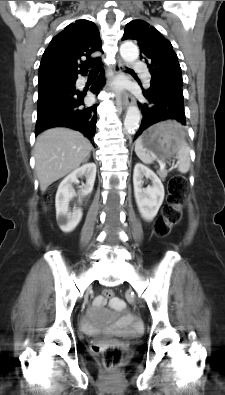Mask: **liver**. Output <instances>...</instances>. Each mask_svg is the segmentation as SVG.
Returning a JSON list of instances; mask_svg holds the SVG:
<instances>
[{"label": "liver", "instance_id": "liver-1", "mask_svg": "<svg viewBox=\"0 0 225 395\" xmlns=\"http://www.w3.org/2000/svg\"><path fill=\"white\" fill-rule=\"evenodd\" d=\"M92 145L80 132L51 128L41 133L34 147L35 170L44 192L53 182L77 169L90 155Z\"/></svg>", "mask_w": 225, "mask_h": 395}]
</instances>
